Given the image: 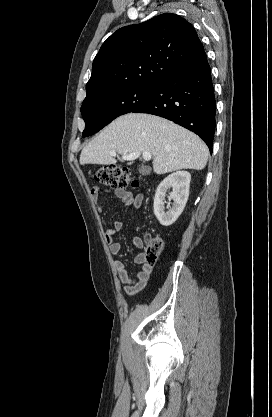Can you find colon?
Segmentation results:
<instances>
[{"mask_svg":"<svg viewBox=\"0 0 272 417\" xmlns=\"http://www.w3.org/2000/svg\"><path fill=\"white\" fill-rule=\"evenodd\" d=\"M94 179L108 187L124 188L127 186L138 187V181L132 179L131 173L126 168H121L114 164L103 165L95 170L93 174ZM166 248V241L161 237H153L149 239L144 261L148 265L156 262L157 258L164 252Z\"/></svg>","mask_w":272,"mask_h":417,"instance_id":"obj_1","label":"colon"}]
</instances>
